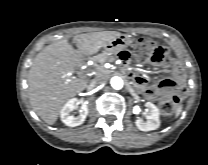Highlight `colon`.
Masks as SVG:
<instances>
[{
	"instance_id": "1",
	"label": "colon",
	"mask_w": 208,
	"mask_h": 165,
	"mask_svg": "<svg viewBox=\"0 0 208 165\" xmlns=\"http://www.w3.org/2000/svg\"><path fill=\"white\" fill-rule=\"evenodd\" d=\"M135 57L139 60H151L154 63L171 64L172 58L168 49L151 39L140 38L135 46ZM183 96V90H178L174 95L163 97L158 101L160 111L165 115L172 114Z\"/></svg>"
}]
</instances>
